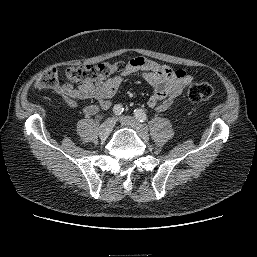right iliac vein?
Wrapping results in <instances>:
<instances>
[{
  "label": "right iliac vein",
  "instance_id": "obj_1",
  "mask_svg": "<svg viewBox=\"0 0 257 257\" xmlns=\"http://www.w3.org/2000/svg\"><path fill=\"white\" fill-rule=\"evenodd\" d=\"M116 120L115 118H108L106 119L100 126L99 135L100 137L104 138L109 135L112 131L113 127L115 126Z\"/></svg>",
  "mask_w": 257,
  "mask_h": 257
}]
</instances>
